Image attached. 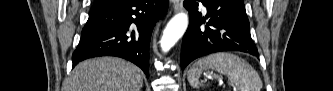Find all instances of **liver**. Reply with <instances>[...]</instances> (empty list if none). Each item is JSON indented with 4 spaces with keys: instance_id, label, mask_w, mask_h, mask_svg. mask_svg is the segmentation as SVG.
Returning <instances> with one entry per match:
<instances>
[{
    "instance_id": "liver-1",
    "label": "liver",
    "mask_w": 333,
    "mask_h": 91,
    "mask_svg": "<svg viewBox=\"0 0 333 91\" xmlns=\"http://www.w3.org/2000/svg\"><path fill=\"white\" fill-rule=\"evenodd\" d=\"M143 72L120 58L102 57L79 63L66 84L67 91H140Z\"/></svg>"
}]
</instances>
